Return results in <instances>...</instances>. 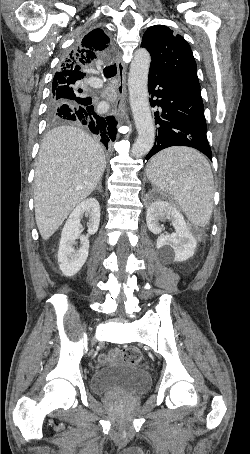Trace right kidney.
Wrapping results in <instances>:
<instances>
[{
	"mask_svg": "<svg viewBox=\"0 0 250 454\" xmlns=\"http://www.w3.org/2000/svg\"><path fill=\"white\" fill-rule=\"evenodd\" d=\"M88 216V234L81 235L82 216ZM100 223V205L95 198H88L79 203L71 212L62 230L59 249V268L65 276L75 275L84 265L88 257L89 236L98 231ZM76 239H80L81 247L73 248Z\"/></svg>",
	"mask_w": 250,
	"mask_h": 454,
	"instance_id": "obj_1",
	"label": "right kidney"
}]
</instances>
